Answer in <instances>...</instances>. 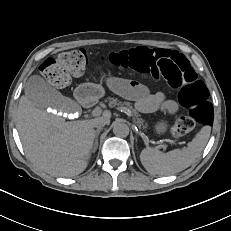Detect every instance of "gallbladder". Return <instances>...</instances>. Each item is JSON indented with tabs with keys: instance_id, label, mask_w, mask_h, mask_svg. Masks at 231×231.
Listing matches in <instances>:
<instances>
[{
	"instance_id": "1",
	"label": "gallbladder",
	"mask_w": 231,
	"mask_h": 231,
	"mask_svg": "<svg viewBox=\"0 0 231 231\" xmlns=\"http://www.w3.org/2000/svg\"><path fill=\"white\" fill-rule=\"evenodd\" d=\"M27 99L37 108L46 110L48 107L56 110H65L70 100L49 85L40 76L34 75L29 78L25 85Z\"/></svg>"
}]
</instances>
